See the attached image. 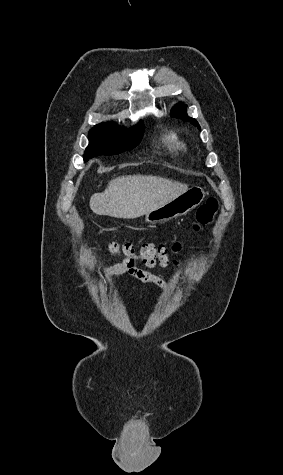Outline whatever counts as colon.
Wrapping results in <instances>:
<instances>
[{"mask_svg": "<svg viewBox=\"0 0 283 475\" xmlns=\"http://www.w3.org/2000/svg\"><path fill=\"white\" fill-rule=\"evenodd\" d=\"M218 202L214 198L208 199L202 204L196 211L195 221L193 222V228L196 231H201L205 227L210 226L217 215ZM181 246L175 244L173 247H169L165 244H143L140 249H135L132 244H118L112 243L109 245L108 251L112 256L119 255L124 259V265L128 269H132L137 260H140L148 267L161 266L167 267L170 265V260L173 262L177 260L179 250Z\"/></svg>", "mask_w": 283, "mask_h": 475, "instance_id": "1", "label": "colon"}]
</instances>
